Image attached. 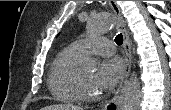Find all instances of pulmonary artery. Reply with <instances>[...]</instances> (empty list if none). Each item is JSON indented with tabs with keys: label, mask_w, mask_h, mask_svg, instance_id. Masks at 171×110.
Segmentation results:
<instances>
[{
	"label": "pulmonary artery",
	"mask_w": 171,
	"mask_h": 110,
	"mask_svg": "<svg viewBox=\"0 0 171 110\" xmlns=\"http://www.w3.org/2000/svg\"><path fill=\"white\" fill-rule=\"evenodd\" d=\"M73 45L82 53H97L103 56H110L115 52L114 44L105 37L96 36L94 38H81Z\"/></svg>",
	"instance_id": "1"
}]
</instances>
